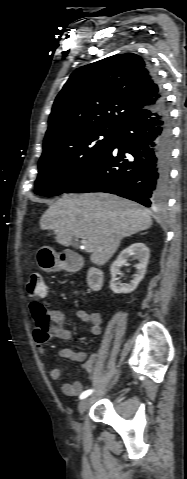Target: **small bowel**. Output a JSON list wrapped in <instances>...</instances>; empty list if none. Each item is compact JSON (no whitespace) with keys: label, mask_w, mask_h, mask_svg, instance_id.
<instances>
[{"label":"small bowel","mask_w":187,"mask_h":479,"mask_svg":"<svg viewBox=\"0 0 187 479\" xmlns=\"http://www.w3.org/2000/svg\"><path fill=\"white\" fill-rule=\"evenodd\" d=\"M50 313L53 323L51 331L52 337L62 342L70 341L72 339V333L65 328L66 316L64 311L61 309H52ZM75 315L78 319L88 325L91 334L99 335L101 333L102 318L100 313L77 309ZM38 347L39 351L44 353L42 345L39 344ZM59 354L62 358L80 362L82 371L88 375L89 379L93 380L95 378V365L97 362V355L95 353L88 354L83 351L74 350L70 347H63L60 349ZM49 377L53 380H58L61 377V368L57 365L51 366L49 369ZM82 390L83 386L79 381L64 383L62 385V392L66 396H78Z\"/></svg>","instance_id":"c3829d8e"}]
</instances>
